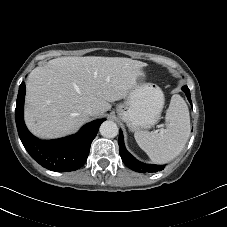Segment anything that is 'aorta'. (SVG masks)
<instances>
[{
	"label": "aorta",
	"instance_id": "762f6f07",
	"mask_svg": "<svg viewBox=\"0 0 227 227\" xmlns=\"http://www.w3.org/2000/svg\"><path fill=\"white\" fill-rule=\"evenodd\" d=\"M100 134L106 138H114L118 134V126L115 122L107 120L100 126Z\"/></svg>",
	"mask_w": 227,
	"mask_h": 227
}]
</instances>
